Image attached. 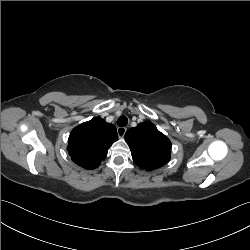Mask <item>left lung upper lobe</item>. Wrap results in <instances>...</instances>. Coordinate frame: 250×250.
Here are the masks:
<instances>
[{
	"instance_id": "obj_1",
	"label": "left lung upper lobe",
	"mask_w": 250,
	"mask_h": 250,
	"mask_svg": "<svg viewBox=\"0 0 250 250\" xmlns=\"http://www.w3.org/2000/svg\"><path fill=\"white\" fill-rule=\"evenodd\" d=\"M125 140L133 161L142 169L153 170L170 159L171 142L151 122H143L127 130Z\"/></svg>"
}]
</instances>
